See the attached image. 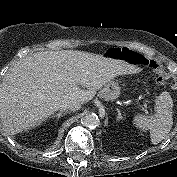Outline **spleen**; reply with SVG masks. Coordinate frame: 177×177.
<instances>
[{"label":"spleen","mask_w":177,"mask_h":177,"mask_svg":"<svg viewBox=\"0 0 177 177\" xmlns=\"http://www.w3.org/2000/svg\"><path fill=\"white\" fill-rule=\"evenodd\" d=\"M172 107L170 94L162 92L155 100L154 115H136L132 121L133 125L144 132L149 130L152 144L157 145L167 137L172 128Z\"/></svg>","instance_id":"spleen-1"}]
</instances>
